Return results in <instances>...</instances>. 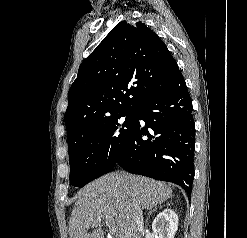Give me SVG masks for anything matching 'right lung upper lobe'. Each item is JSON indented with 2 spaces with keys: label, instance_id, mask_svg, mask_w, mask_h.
I'll return each instance as SVG.
<instances>
[{
  "label": "right lung upper lobe",
  "instance_id": "cb5924a9",
  "mask_svg": "<svg viewBox=\"0 0 247 238\" xmlns=\"http://www.w3.org/2000/svg\"><path fill=\"white\" fill-rule=\"evenodd\" d=\"M179 72L158 35L144 23H118L82 62L68 93V146L87 129L135 113Z\"/></svg>",
  "mask_w": 247,
  "mask_h": 238
}]
</instances>
